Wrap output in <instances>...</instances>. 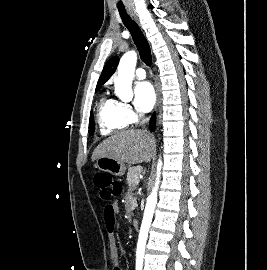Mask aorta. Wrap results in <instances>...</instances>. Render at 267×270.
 <instances>
[{
	"instance_id": "1",
	"label": "aorta",
	"mask_w": 267,
	"mask_h": 270,
	"mask_svg": "<svg viewBox=\"0 0 267 270\" xmlns=\"http://www.w3.org/2000/svg\"><path fill=\"white\" fill-rule=\"evenodd\" d=\"M136 62H137V53L135 51L126 52L119 62L117 69L118 75L115 80L114 86H115V94L123 101L131 100L133 97L132 81L134 78ZM161 169H162V161L161 159H159L157 163L155 185L151 194L147 198L143 220L140 228L136 251L137 263L143 262L148 232L152 222L154 210L157 204V191L160 183Z\"/></svg>"
}]
</instances>
